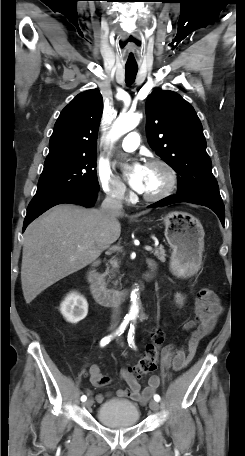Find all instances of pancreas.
<instances>
[{
    "mask_svg": "<svg viewBox=\"0 0 245 456\" xmlns=\"http://www.w3.org/2000/svg\"><path fill=\"white\" fill-rule=\"evenodd\" d=\"M154 256L157 257V259H159L161 262H165L166 261V253H165V250H164V247L162 245L158 246L155 248L154 252H153ZM110 263L112 264L113 268H118V261L117 259H112L110 261ZM109 273V271H106L105 275H107Z\"/></svg>",
    "mask_w": 245,
    "mask_h": 456,
    "instance_id": "cf45deb5",
    "label": "pancreas"
}]
</instances>
